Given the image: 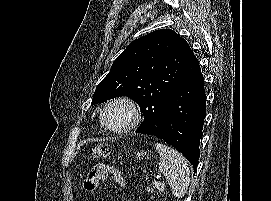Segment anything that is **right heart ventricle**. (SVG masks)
<instances>
[{
    "instance_id": "e07e8e85",
    "label": "right heart ventricle",
    "mask_w": 271,
    "mask_h": 201,
    "mask_svg": "<svg viewBox=\"0 0 271 201\" xmlns=\"http://www.w3.org/2000/svg\"><path fill=\"white\" fill-rule=\"evenodd\" d=\"M100 128H101V129L103 128V126H102L101 122H100Z\"/></svg>"
}]
</instances>
